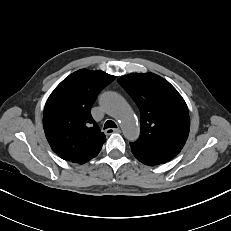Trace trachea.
Listing matches in <instances>:
<instances>
[{
	"label": "trachea",
	"instance_id": "1",
	"mask_svg": "<svg viewBox=\"0 0 231 231\" xmlns=\"http://www.w3.org/2000/svg\"><path fill=\"white\" fill-rule=\"evenodd\" d=\"M108 128H117V126L112 120H108L104 125V129H108Z\"/></svg>",
	"mask_w": 231,
	"mask_h": 231
}]
</instances>
